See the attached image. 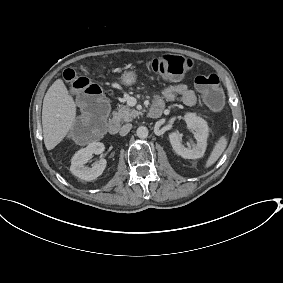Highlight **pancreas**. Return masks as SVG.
Segmentation results:
<instances>
[{
	"label": "pancreas",
	"mask_w": 283,
	"mask_h": 283,
	"mask_svg": "<svg viewBox=\"0 0 283 283\" xmlns=\"http://www.w3.org/2000/svg\"><path fill=\"white\" fill-rule=\"evenodd\" d=\"M141 114L138 110H132L128 106H119L118 110L113 113L114 121L130 122L133 118H136Z\"/></svg>",
	"instance_id": "1"
}]
</instances>
